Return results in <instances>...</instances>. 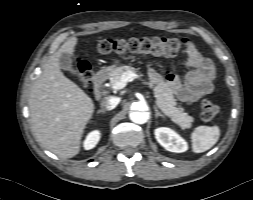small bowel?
<instances>
[{"label":"small bowel","instance_id":"small-bowel-1","mask_svg":"<svg viewBox=\"0 0 253 200\" xmlns=\"http://www.w3.org/2000/svg\"><path fill=\"white\" fill-rule=\"evenodd\" d=\"M189 58L185 64L188 69L185 82L178 76L168 73V79L173 83L179 99L183 102H194L213 91L215 67L213 62L204 57L199 50L191 45Z\"/></svg>","mask_w":253,"mask_h":200}]
</instances>
